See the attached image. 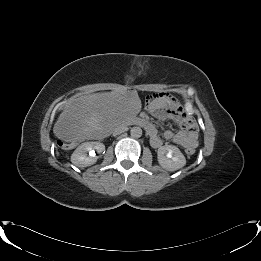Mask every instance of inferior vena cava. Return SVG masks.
Listing matches in <instances>:
<instances>
[{
  "label": "inferior vena cava",
  "mask_w": 261,
  "mask_h": 261,
  "mask_svg": "<svg viewBox=\"0 0 261 261\" xmlns=\"http://www.w3.org/2000/svg\"><path fill=\"white\" fill-rule=\"evenodd\" d=\"M128 127L125 126V125H121V126H118L116 127L114 130H113V135H119L125 131H127Z\"/></svg>",
  "instance_id": "obj_1"
}]
</instances>
